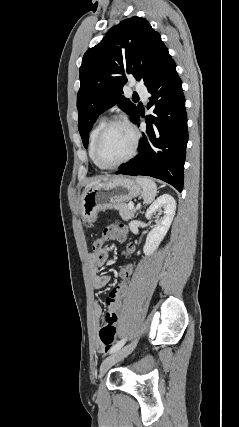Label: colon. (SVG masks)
Masks as SVG:
<instances>
[{
    "label": "colon",
    "mask_w": 239,
    "mask_h": 427,
    "mask_svg": "<svg viewBox=\"0 0 239 427\" xmlns=\"http://www.w3.org/2000/svg\"><path fill=\"white\" fill-rule=\"evenodd\" d=\"M126 230L127 227L123 222H110L109 225L104 228L101 236L94 241L93 251H99L102 245L109 241L110 244H125V247L121 248V253L124 257H131L132 251L135 250L136 246L134 242L128 241L130 234ZM125 260L127 261L128 259L126 258ZM118 267L120 280L112 285L107 296L104 297V304L109 306L106 308L104 324L100 329L99 337L105 351L116 339L120 312L119 308L123 307V301H125L127 294L126 291L130 286L129 282L131 281V276L135 273L130 262H120Z\"/></svg>",
    "instance_id": "5ec220e1"
}]
</instances>
